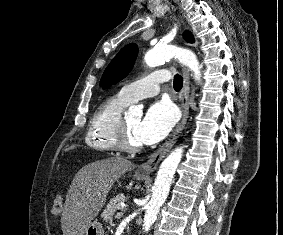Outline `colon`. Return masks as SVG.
Returning a JSON list of instances; mask_svg holds the SVG:
<instances>
[{
    "instance_id": "5ec220e1",
    "label": "colon",
    "mask_w": 283,
    "mask_h": 235,
    "mask_svg": "<svg viewBox=\"0 0 283 235\" xmlns=\"http://www.w3.org/2000/svg\"><path fill=\"white\" fill-rule=\"evenodd\" d=\"M63 205V197L60 194L55 195L52 202L51 213L57 215L60 213Z\"/></svg>"
}]
</instances>
